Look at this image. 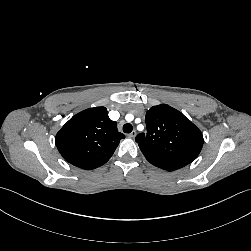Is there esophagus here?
Returning <instances> with one entry per match:
<instances>
[{
	"label": "esophagus",
	"instance_id": "34e87169",
	"mask_svg": "<svg viewBox=\"0 0 251 251\" xmlns=\"http://www.w3.org/2000/svg\"><path fill=\"white\" fill-rule=\"evenodd\" d=\"M136 130H133L131 133L128 134L129 138H134L136 136Z\"/></svg>",
	"mask_w": 251,
	"mask_h": 251
}]
</instances>
